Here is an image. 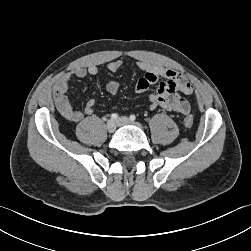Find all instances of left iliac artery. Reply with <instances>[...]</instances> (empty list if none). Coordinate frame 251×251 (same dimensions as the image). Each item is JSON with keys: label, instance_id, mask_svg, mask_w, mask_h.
<instances>
[{"label": "left iliac artery", "instance_id": "left-iliac-artery-1", "mask_svg": "<svg viewBox=\"0 0 251 251\" xmlns=\"http://www.w3.org/2000/svg\"><path fill=\"white\" fill-rule=\"evenodd\" d=\"M136 119L135 115H130V120L134 121Z\"/></svg>", "mask_w": 251, "mask_h": 251}]
</instances>
